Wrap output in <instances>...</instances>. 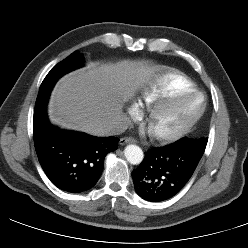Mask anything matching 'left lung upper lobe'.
<instances>
[{
  "label": "left lung upper lobe",
  "mask_w": 248,
  "mask_h": 248,
  "mask_svg": "<svg viewBox=\"0 0 248 248\" xmlns=\"http://www.w3.org/2000/svg\"><path fill=\"white\" fill-rule=\"evenodd\" d=\"M177 142L186 143V144L192 145L194 147L200 148L202 150H205L208 139L207 138L190 139L187 137H183L180 140H178Z\"/></svg>",
  "instance_id": "obj_1"
}]
</instances>
